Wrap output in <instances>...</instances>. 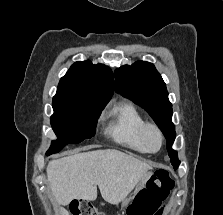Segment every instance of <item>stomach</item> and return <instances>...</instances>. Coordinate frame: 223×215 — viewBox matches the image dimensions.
<instances>
[{
    "label": "stomach",
    "mask_w": 223,
    "mask_h": 215,
    "mask_svg": "<svg viewBox=\"0 0 223 215\" xmlns=\"http://www.w3.org/2000/svg\"><path fill=\"white\" fill-rule=\"evenodd\" d=\"M153 177V171H146V173H143L135 191L133 193H139L140 190H147L148 189V184H146V179H152ZM134 201V198L128 197V199H125L123 201L122 205L125 207V209H129L128 202Z\"/></svg>",
    "instance_id": "0dacf381"
}]
</instances>
